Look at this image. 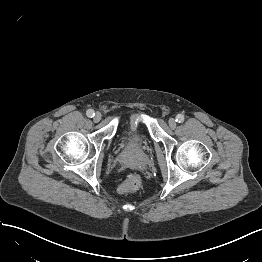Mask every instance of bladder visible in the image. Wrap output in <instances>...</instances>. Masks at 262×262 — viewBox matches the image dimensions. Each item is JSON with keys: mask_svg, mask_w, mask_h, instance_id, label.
<instances>
[{"mask_svg": "<svg viewBox=\"0 0 262 262\" xmlns=\"http://www.w3.org/2000/svg\"><path fill=\"white\" fill-rule=\"evenodd\" d=\"M143 134L142 133H137V134H133L131 135L128 139H127V142L129 145L131 146H138L142 143L143 141Z\"/></svg>", "mask_w": 262, "mask_h": 262, "instance_id": "1", "label": "bladder"}]
</instances>
